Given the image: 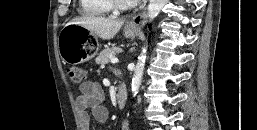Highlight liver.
I'll list each match as a JSON object with an SVG mask.
<instances>
[{"label": "liver", "instance_id": "6515ba94", "mask_svg": "<svg viewBox=\"0 0 257 130\" xmlns=\"http://www.w3.org/2000/svg\"><path fill=\"white\" fill-rule=\"evenodd\" d=\"M68 24L81 25L100 38L110 40L118 33L124 21L105 17L84 16L74 18Z\"/></svg>", "mask_w": 257, "mask_h": 130}]
</instances>
